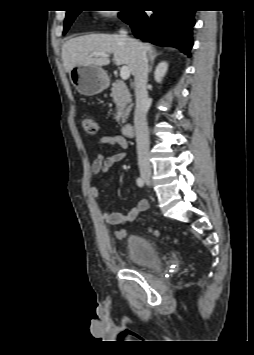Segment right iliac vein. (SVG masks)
Instances as JSON below:
<instances>
[{"label": "right iliac vein", "mask_w": 254, "mask_h": 355, "mask_svg": "<svg viewBox=\"0 0 254 355\" xmlns=\"http://www.w3.org/2000/svg\"><path fill=\"white\" fill-rule=\"evenodd\" d=\"M141 176L142 178L147 182L148 185H151L152 180H151V170L150 169H141Z\"/></svg>", "instance_id": "right-iliac-vein-1"}]
</instances>
